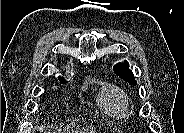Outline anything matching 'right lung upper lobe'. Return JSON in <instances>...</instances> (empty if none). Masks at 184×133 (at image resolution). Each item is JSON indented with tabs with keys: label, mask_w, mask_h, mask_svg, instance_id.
<instances>
[{
	"label": "right lung upper lobe",
	"mask_w": 184,
	"mask_h": 133,
	"mask_svg": "<svg viewBox=\"0 0 184 133\" xmlns=\"http://www.w3.org/2000/svg\"><path fill=\"white\" fill-rule=\"evenodd\" d=\"M58 79H59L60 82L66 81L63 77H59Z\"/></svg>",
	"instance_id": "obj_1"
}]
</instances>
